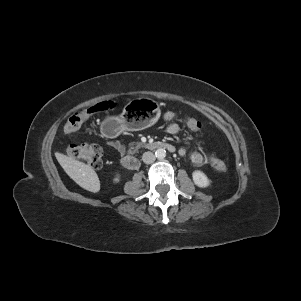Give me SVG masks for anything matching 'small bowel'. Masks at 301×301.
I'll list each match as a JSON object with an SVG mask.
<instances>
[{
    "label": "small bowel",
    "mask_w": 301,
    "mask_h": 301,
    "mask_svg": "<svg viewBox=\"0 0 301 301\" xmlns=\"http://www.w3.org/2000/svg\"><path fill=\"white\" fill-rule=\"evenodd\" d=\"M164 119L167 121L173 120V119H168L166 117H164ZM179 130H180L179 125L174 122L169 123L165 128L166 133L172 134V135L178 133ZM109 143L122 157L124 156L125 147L121 142H119L117 140H110ZM179 155L182 157L188 156L190 158V160L196 165H202L205 161V158L201 153H199L197 151H189L186 148H180Z\"/></svg>",
    "instance_id": "c3829d8e"
}]
</instances>
